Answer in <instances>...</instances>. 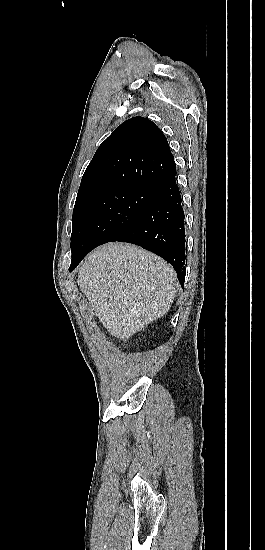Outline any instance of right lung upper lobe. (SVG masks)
I'll list each match as a JSON object with an SVG mask.
<instances>
[{
  "label": "right lung upper lobe",
  "instance_id": "cb5924a9",
  "mask_svg": "<svg viewBox=\"0 0 265 550\" xmlns=\"http://www.w3.org/2000/svg\"><path fill=\"white\" fill-rule=\"evenodd\" d=\"M175 168L163 132L152 121L133 117L99 146L82 177L76 202L118 188L160 185Z\"/></svg>",
  "mask_w": 265,
  "mask_h": 550
}]
</instances>
